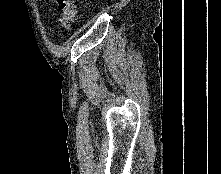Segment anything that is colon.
Segmentation results:
<instances>
[{
  "instance_id": "obj_1",
  "label": "colon",
  "mask_w": 221,
  "mask_h": 174,
  "mask_svg": "<svg viewBox=\"0 0 221 174\" xmlns=\"http://www.w3.org/2000/svg\"><path fill=\"white\" fill-rule=\"evenodd\" d=\"M57 2L62 10L59 25L65 29H69L76 22L79 3L76 0H57Z\"/></svg>"
}]
</instances>
